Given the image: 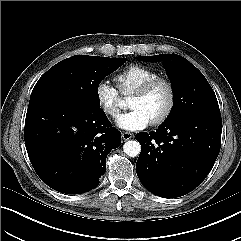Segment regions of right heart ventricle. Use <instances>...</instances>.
Instances as JSON below:
<instances>
[{"label": "right heart ventricle", "mask_w": 241, "mask_h": 241, "mask_svg": "<svg viewBox=\"0 0 241 241\" xmlns=\"http://www.w3.org/2000/svg\"><path fill=\"white\" fill-rule=\"evenodd\" d=\"M156 77H159V73L153 68L132 64L121 70L115 80L121 92L130 93Z\"/></svg>", "instance_id": "obj_1"}]
</instances>
